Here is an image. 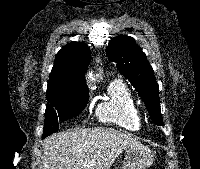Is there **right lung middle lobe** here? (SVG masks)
<instances>
[{
  "label": "right lung middle lobe",
  "mask_w": 200,
  "mask_h": 169,
  "mask_svg": "<svg viewBox=\"0 0 200 169\" xmlns=\"http://www.w3.org/2000/svg\"><path fill=\"white\" fill-rule=\"evenodd\" d=\"M88 92L81 94L47 99L50 104L46 105L43 138L57 131L58 120L65 121L78 115L88 103Z\"/></svg>",
  "instance_id": "dd1d6c3e"
}]
</instances>
